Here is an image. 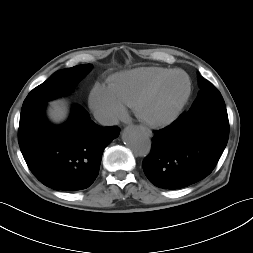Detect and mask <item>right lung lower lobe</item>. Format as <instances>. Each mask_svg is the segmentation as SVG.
Listing matches in <instances>:
<instances>
[{
	"label": "right lung lower lobe",
	"mask_w": 253,
	"mask_h": 253,
	"mask_svg": "<svg viewBox=\"0 0 253 253\" xmlns=\"http://www.w3.org/2000/svg\"><path fill=\"white\" fill-rule=\"evenodd\" d=\"M46 104L23 110L18 142L34 176L54 190L76 191L89 187L96 179L104 149L116 138V126L95 124L86 110L74 105L67 123L50 124Z\"/></svg>",
	"instance_id": "obj_1"
}]
</instances>
